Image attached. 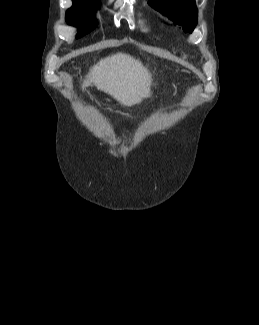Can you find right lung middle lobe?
Listing matches in <instances>:
<instances>
[{"label": "right lung middle lobe", "mask_w": 259, "mask_h": 325, "mask_svg": "<svg viewBox=\"0 0 259 325\" xmlns=\"http://www.w3.org/2000/svg\"><path fill=\"white\" fill-rule=\"evenodd\" d=\"M73 5L66 12V21L70 25L80 26L82 29L77 34L79 38L96 26L94 14L99 6V0H72ZM88 26L84 29L83 26Z\"/></svg>", "instance_id": "right-lung-middle-lobe-1"}]
</instances>
